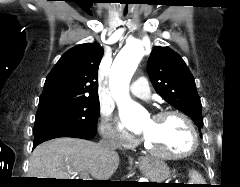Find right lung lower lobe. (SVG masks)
<instances>
[{
  "label": "right lung lower lobe",
  "mask_w": 240,
  "mask_h": 187,
  "mask_svg": "<svg viewBox=\"0 0 240 187\" xmlns=\"http://www.w3.org/2000/svg\"><path fill=\"white\" fill-rule=\"evenodd\" d=\"M96 132L89 134V135H85V134H81V133H76V132H72V131H68V130H64V129H50V130H46L42 133H39L37 135H35L34 137V142H33V147H36L37 145H39L40 143L53 139V138H58V137H73V138H81V139H91L94 137Z\"/></svg>",
  "instance_id": "1"
}]
</instances>
